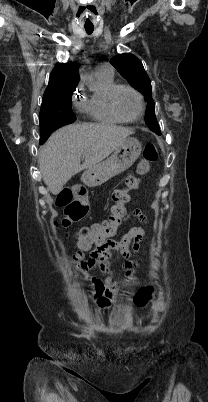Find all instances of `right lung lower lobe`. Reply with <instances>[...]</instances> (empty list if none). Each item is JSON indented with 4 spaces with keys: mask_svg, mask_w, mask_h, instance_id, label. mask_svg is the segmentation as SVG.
Here are the masks:
<instances>
[{
    "mask_svg": "<svg viewBox=\"0 0 208 402\" xmlns=\"http://www.w3.org/2000/svg\"><path fill=\"white\" fill-rule=\"evenodd\" d=\"M63 125H67L65 123H61L57 120H48L40 123L41 133L45 136L46 140L48 137L58 128Z\"/></svg>",
    "mask_w": 208,
    "mask_h": 402,
    "instance_id": "1",
    "label": "right lung lower lobe"
}]
</instances>
